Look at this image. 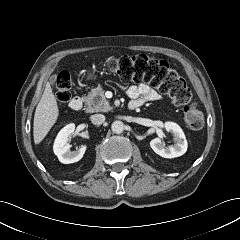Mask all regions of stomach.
Segmentation results:
<instances>
[{
    "instance_id": "obj_1",
    "label": "stomach",
    "mask_w": 240,
    "mask_h": 240,
    "mask_svg": "<svg viewBox=\"0 0 240 240\" xmlns=\"http://www.w3.org/2000/svg\"><path fill=\"white\" fill-rule=\"evenodd\" d=\"M92 76H93V74L90 73V74H89V77H92Z\"/></svg>"
}]
</instances>
